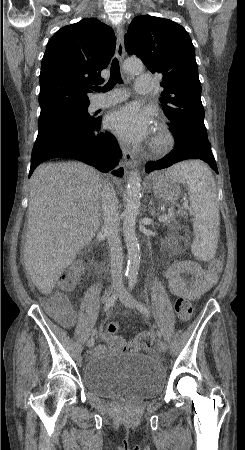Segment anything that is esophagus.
<instances>
[{
    "mask_svg": "<svg viewBox=\"0 0 245 450\" xmlns=\"http://www.w3.org/2000/svg\"><path fill=\"white\" fill-rule=\"evenodd\" d=\"M116 37H117L116 56L119 60H122L125 55V47H124V29L121 26H117L116 28ZM121 149L123 153V160L125 166L129 169L135 166L136 162L134 159L133 152L125 145H122Z\"/></svg>",
    "mask_w": 245,
    "mask_h": 450,
    "instance_id": "1",
    "label": "esophagus"
}]
</instances>
